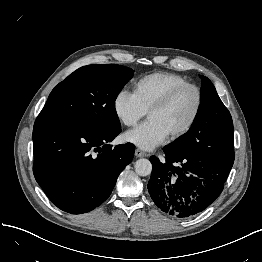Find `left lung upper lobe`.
I'll return each mask as SVG.
<instances>
[{
	"label": "left lung upper lobe",
	"mask_w": 262,
	"mask_h": 262,
	"mask_svg": "<svg viewBox=\"0 0 262 262\" xmlns=\"http://www.w3.org/2000/svg\"><path fill=\"white\" fill-rule=\"evenodd\" d=\"M200 106L187 133L166 146L175 153L220 160L234 147L233 122L212 82L201 76Z\"/></svg>",
	"instance_id": "obj_1"
}]
</instances>
